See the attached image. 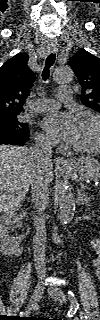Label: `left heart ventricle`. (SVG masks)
<instances>
[{
  "mask_svg": "<svg viewBox=\"0 0 100 320\" xmlns=\"http://www.w3.org/2000/svg\"><path fill=\"white\" fill-rule=\"evenodd\" d=\"M96 136V127L93 123L81 122L73 146L81 148L91 147L95 144Z\"/></svg>",
  "mask_w": 100,
  "mask_h": 320,
  "instance_id": "1",
  "label": "left heart ventricle"
}]
</instances>
